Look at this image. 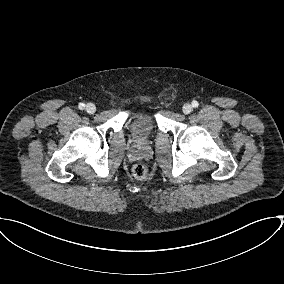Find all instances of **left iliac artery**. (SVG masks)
<instances>
[{
	"instance_id": "left-iliac-artery-1",
	"label": "left iliac artery",
	"mask_w": 284,
	"mask_h": 284,
	"mask_svg": "<svg viewBox=\"0 0 284 284\" xmlns=\"http://www.w3.org/2000/svg\"><path fill=\"white\" fill-rule=\"evenodd\" d=\"M192 106H193L194 108H197V107L199 106L198 101H193V102H192Z\"/></svg>"
}]
</instances>
